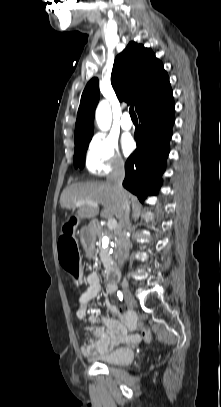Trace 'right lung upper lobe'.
Wrapping results in <instances>:
<instances>
[{
	"label": "right lung upper lobe",
	"instance_id": "cb5924a9",
	"mask_svg": "<svg viewBox=\"0 0 221 407\" xmlns=\"http://www.w3.org/2000/svg\"><path fill=\"white\" fill-rule=\"evenodd\" d=\"M111 84L118 99L133 103L136 111L170 86L162 62L151 49L135 42H129L116 57ZM98 101L99 82L97 78H93L87 83L81 96L75 125V144L92 138Z\"/></svg>",
	"mask_w": 221,
	"mask_h": 407
}]
</instances>
